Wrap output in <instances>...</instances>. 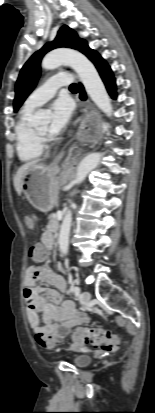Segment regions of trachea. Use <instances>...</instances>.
<instances>
[{
	"mask_svg": "<svg viewBox=\"0 0 155 413\" xmlns=\"http://www.w3.org/2000/svg\"><path fill=\"white\" fill-rule=\"evenodd\" d=\"M70 89L71 90H76V89H78V86L75 83H73V84L70 85Z\"/></svg>",
	"mask_w": 155,
	"mask_h": 413,
	"instance_id": "trachea-1",
	"label": "trachea"
}]
</instances>
